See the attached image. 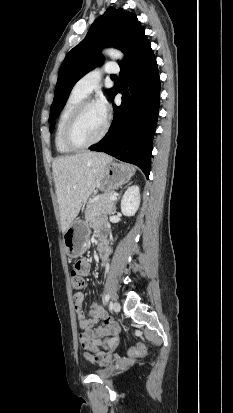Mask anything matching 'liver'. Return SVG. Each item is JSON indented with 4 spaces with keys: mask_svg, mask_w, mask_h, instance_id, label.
<instances>
[{
    "mask_svg": "<svg viewBox=\"0 0 233 413\" xmlns=\"http://www.w3.org/2000/svg\"><path fill=\"white\" fill-rule=\"evenodd\" d=\"M111 161L104 153L89 151L54 159L52 170L63 233L98 186L105 166Z\"/></svg>",
    "mask_w": 233,
    "mask_h": 413,
    "instance_id": "6515ba94",
    "label": "liver"
}]
</instances>
